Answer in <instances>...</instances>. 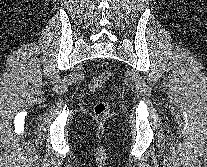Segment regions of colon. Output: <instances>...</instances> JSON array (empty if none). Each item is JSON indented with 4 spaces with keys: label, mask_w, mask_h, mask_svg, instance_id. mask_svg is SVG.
Listing matches in <instances>:
<instances>
[{
    "label": "colon",
    "mask_w": 207,
    "mask_h": 167,
    "mask_svg": "<svg viewBox=\"0 0 207 167\" xmlns=\"http://www.w3.org/2000/svg\"><path fill=\"white\" fill-rule=\"evenodd\" d=\"M111 73L105 71L101 75L94 76L89 81V89L92 92L99 90L110 78ZM111 109V104L108 101H99L94 106V113L98 117L106 116Z\"/></svg>",
    "instance_id": "obj_1"
}]
</instances>
